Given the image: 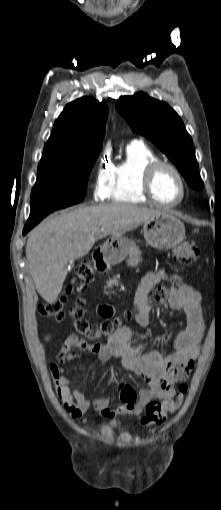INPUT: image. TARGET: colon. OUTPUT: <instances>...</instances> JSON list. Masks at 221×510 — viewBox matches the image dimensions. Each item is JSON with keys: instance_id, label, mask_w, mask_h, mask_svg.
Segmentation results:
<instances>
[{"instance_id": "1", "label": "colon", "mask_w": 221, "mask_h": 510, "mask_svg": "<svg viewBox=\"0 0 221 510\" xmlns=\"http://www.w3.org/2000/svg\"><path fill=\"white\" fill-rule=\"evenodd\" d=\"M200 252L198 247L193 241H185L179 245L174 251V259L177 263L188 266L196 262L199 258ZM95 275V265L91 259H84L78 265L76 277L73 285L68 289V293L74 291H81L84 289L86 283L90 282ZM168 290L164 286H157L154 288L151 297L146 299V305H150L153 301L160 302L167 298ZM67 297L60 299L42 306L40 313L46 317L52 318L56 321H62L66 315ZM70 314L74 319L75 332L84 337L89 342H95L104 338H110L118 327L117 320H106L99 324L90 322L85 317V310L83 308V300H78L74 308L70 310ZM131 312L126 313V317L130 318ZM130 386L127 388L129 389ZM188 386L182 382L178 388V395L176 398H165L162 401H151L146 405L145 413L141 418V423L144 426L160 425L164 423L170 413L175 412L187 392Z\"/></svg>"}]
</instances>
